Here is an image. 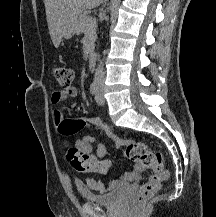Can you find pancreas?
<instances>
[{"instance_id":"cf45deb5","label":"pancreas","mask_w":216,"mask_h":217,"mask_svg":"<svg viewBox=\"0 0 216 217\" xmlns=\"http://www.w3.org/2000/svg\"><path fill=\"white\" fill-rule=\"evenodd\" d=\"M96 21L87 13H81L75 21V32L83 33L87 39L88 51L92 52L96 38Z\"/></svg>"}]
</instances>
